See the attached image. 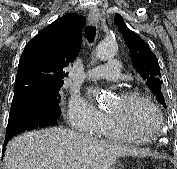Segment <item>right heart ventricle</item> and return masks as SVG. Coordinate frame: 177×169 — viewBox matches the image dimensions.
Segmentation results:
<instances>
[{
	"instance_id": "obj_1",
	"label": "right heart ventricle",
	"mask_w": 177,
	"mask_h": 169,
	"mask_svg": "<svg viewBox=\"0 0 177 169\" xmlns=\"http://www.w3.org/2000/svg\"><path fill=\"white\" fill-rule=\"evenodd\" d=\"M98 136L111 140H128L117 130V128L115 127V125L113 124L109 117L106 118V121L103 124L101 130L99 131ZM140 142L146 143L150 141H140Z\"/></svg>"
}]
</instances>
